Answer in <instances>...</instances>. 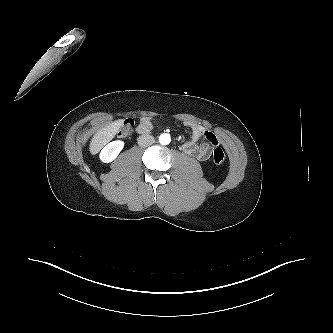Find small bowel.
Here are the masks:
<instances>
[{
	"instance_id": "c3829d8e",
	"label": "small bowel",
	"mask_w": 333,
	"mask_h": 333,
	"mask_svg": "<svg viewBox=\"0 0 333 333\" xmlns=\"http://www.w3.org/2000/svg\"><path fill=\"white\" fill-rule=\"evenodd\" d=\"M188 126L192 131V137L183 144V150L199 161H206L211 155L212 147L218 146V138L214 133L201 126L191 123H189ZM152 129V120L150 118H143L137 132L139 134H148ZM199 141H203V144L200 146L198 145Z\"/></svg>"
}]
</instances>
